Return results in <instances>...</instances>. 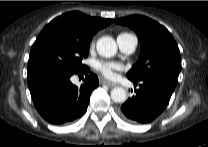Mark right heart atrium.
<instances>
[{
    "label": "right heart atrium",
    "instance_id": "right-heart-atrium-1",
    "mask_svg": "<svg viewBox=\"0 0 208 147\" xmlns=\"http://www.w3.org/2000/svg\"><path fill=\"white\" fill-rule=\"evenodd\" d=\"M93 45H94V41L91 42V46H93Z\"/></svg>",
    "mask_w": 208,
    "mask_h": 147
}]
</instances>
